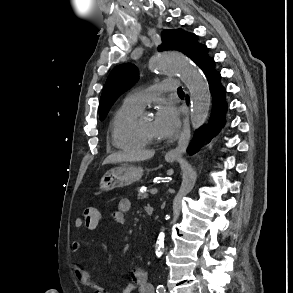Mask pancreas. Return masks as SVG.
Instances as JSON below:
<instances>
[{
	"instance_id": "pancreas-1",
	"label": "pancreas",
	"mask_w": 293,
	"mask_h": 293,
	"mask_svg": "<svg viewBox=\"0 0 293 293\" xmlns=\"http://www.w3.org/2000/svg\"><path fill=\"white\" fill-rule=\"evenodd\" d=\"M148 192L149 191H145V192H138V194H137V197L139 198V199H146V198H148Z\"/></svg>"
}]
</instances>
